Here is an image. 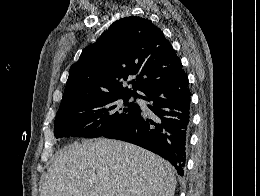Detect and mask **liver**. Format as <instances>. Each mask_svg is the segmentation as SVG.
I'll list each match as a JSON object with an SVG mask.
<instances>
[{
    "label": "liver",
    "instance_id": "obj_1",
    "mask_svg": "<svg viewBox=\"0 0 260 196\" xmlns=\"http://www.w3.org/2000/svg\"><path fill=\"white\" fill-rule=\"evenodd\" d=\"M175 188L169 162L134 144L100 138L59 150L40 196H174Z\"/></svg>",
    "mask_w": 260,
    "mask_h": 196
}]
</instances>
